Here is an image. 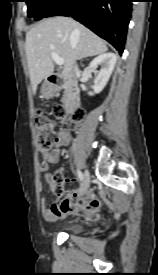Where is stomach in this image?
<instances>
[{"label":"stomach","instance_id":"obj_1","mask_svg":"<svg viewBox=\"0 0 158 275\" xmlns=\"http://www.w3.org/2000/svg\"><path fill=\"white\" fill-rule=\"evenodd\" d=\"M41 94L45 98H49L52 96V90L44 83L41 87Z\"/></svg>","mask_w":158,"mask_h":275}]
</instances>
